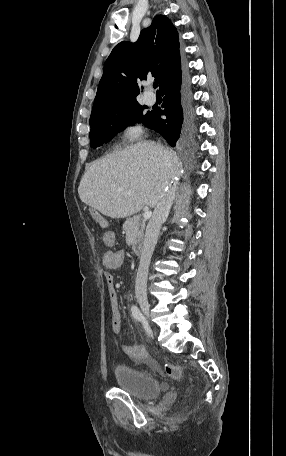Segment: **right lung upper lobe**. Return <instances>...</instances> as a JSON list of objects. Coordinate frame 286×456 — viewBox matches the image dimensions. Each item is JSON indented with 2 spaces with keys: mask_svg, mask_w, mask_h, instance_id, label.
I'll list each match as a JSON object with an SVG mask.
<instances>
[{
  "mask_svg": "<svg viewBox=\"0 0 286 456\" xmlns=\"http://www.w3.org/2000/svg\"><path fill=\"white\" fill-rule=\"evenodd\" d=\"M176 28L164 15L154 17L135 43L120 42L107 58L90 122L113 108L138 103V80L153 76L160 91L181 77Z\"/></svg>",
  "mask_w": 286,
  "mask_h": 456,
  "instance_id": "1",
  "label": "right lung upper lobe"
}]
</instances>
